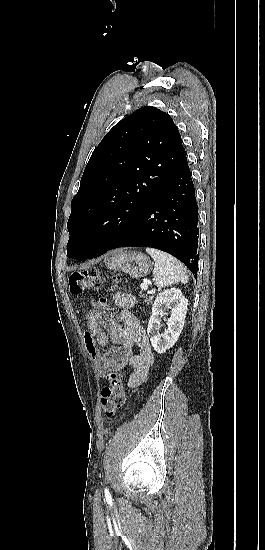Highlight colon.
I'll use <instances>...</instances> for the list:
<instances>
[{
    "mask_svg": "<svg viewBox=\"0 0 265 550\" xmlns=\"http://www.w3.org/2000/svg\"><path fill=\"white\" fill-rule=\"evenodd\" d=\"M102 285L103 278L95 268L74 271L69 278L70 290L74 294L97 291ZM106 379L108 385L102 389L100 405L104 414L111 417L126 401L125 374L111 371L107 373Z\"/></svg>",
    "mask_w": 265,
    "mask_h": 550,
    "instance_id": "obj_1",
    "label": "colon"
}]
</instances>
